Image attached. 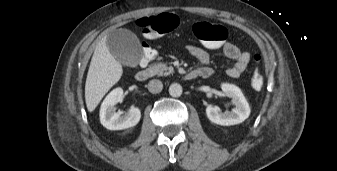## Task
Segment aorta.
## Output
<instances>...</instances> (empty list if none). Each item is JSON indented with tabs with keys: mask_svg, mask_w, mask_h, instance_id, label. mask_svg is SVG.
<instances>
[{
	"mask_svg": "<svg viewBox=\"0 0 337 171\" xmlns=\"http://www.w3.org/2000/svg\"><path fill=\"white\" fill-rule=\"evenodd\" d=\"M183 89L182 86L178 83H173L169 87V94L172 97H180L182 95Z\"/></svg>",
	"mask_w": 337,
	"mask_h": 171,
	"instance_id": "aorta-1",
	"label": "aorta"
}]
</instances>
